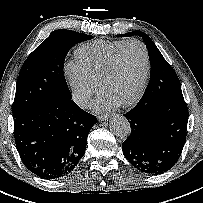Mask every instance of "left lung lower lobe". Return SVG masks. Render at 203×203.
I'll list each match as a JSON object with an SVG mask.
<instances>
[{"label": "left lung lower lobe", "mask_w": 203, "mask_h": 203, "mask_svg": "<svg viewBox=\"0 0 203 203\" xmlns=\"http://www.w3.org/2000/svg\"><path fill=\"white\" fill-rule=\"evenodd\" d=\"M184 100L137 104L125 114L131 134L122 143L126 159L151 175L171 169L181 156L188 123Z\"/></svg>", "instance_id": "left-lung-lower-lobe-1"}]
</instances>
